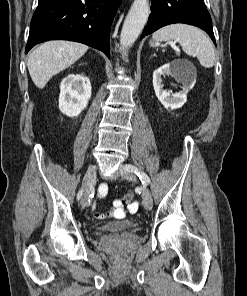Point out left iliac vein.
I'll return each instance as SVG.
<instances>
[{"instance_id":"1","label":"left iliac vein","mask_w":247,"mask_h":296,"mask_svg":"<svg viewBox=\"0 0 247 296\" xmlns=\"http://www.w3.org/2000/svg\"><path fill=\"white\" fill-rule=\"evenodd\" d=\"M119 172H120L121 176L126 180H129V181H135L136 180L135 175L131 171H128L125 168V166H121L120 169H119ZM142 201H143L144 208L147 211H150L152 209V206H153V199H152L151 192L147 188H145L143 190Z\"/></svg>"}]
</instances>
